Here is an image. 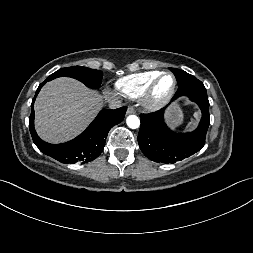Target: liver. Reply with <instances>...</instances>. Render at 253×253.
<instances>
[{"mask_svg":"<svg viewBox=\"0 0 253 253\" xmlns=\"http://www.w3.org/2000/svg\"><path fill=\"white\" fill-rule=\"evenodd\" d=\"M116 97L110 91L103 95L81 82L67 77L48 82L35 102V128L49 143H61L78 135L102 107L103 99Z\"/></svg>","mask_w":253,"mask_h":253,"instance_id":"obj_1","label":"liver"}]
</instances>
